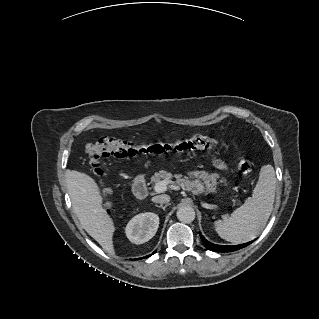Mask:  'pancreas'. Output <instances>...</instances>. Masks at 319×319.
Wrapping results in <instances>:
<instances>
[{
    "instance_id": "cf45deb5",
    "label": "pancreas",
    "mask_w": 319,
    "mask_h": 319,
    "mask_svg": "<svg viewBox=\"0 0 319 319\" xmlns=\"http://www.w3.org/2000/svg\"><path fill=\"white\" fill-rule=\"evenodd\" d=\"M172 177H176V185L185 187L187 190H202L205 188L208 192H214L217 184L218 174H208L205 171H195L189 177L173 176L172 173L167 171H159L155 173L151 178L152 183H157L161 180H170ZM194 179L191 181L190 179Z\"/></svg>"
}]
</instances>
